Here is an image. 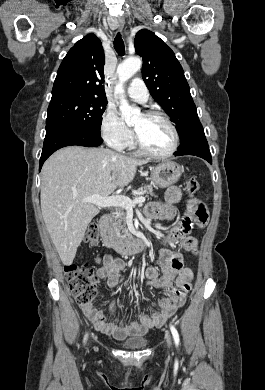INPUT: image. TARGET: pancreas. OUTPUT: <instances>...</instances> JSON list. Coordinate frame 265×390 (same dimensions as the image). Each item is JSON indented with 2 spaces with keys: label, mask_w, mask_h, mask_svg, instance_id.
Returning a JSON list of instances; mask_svg holds the SVG:
<instances>
[{
  "label": "pancreas",
  "mask_w": 265,
  "mask_h": 390,
  "mask_svg": "<svg viewBox=\"0 0 265 390\" xmlns=\"http://www.w3.org/2000/svg\"><path fill=\"white\" fill-rule=\"evenodd\" d=\"M147 195H153V188L152 187H145L144 188ZM139 191H143V188H140ZM112 218V228L114 232L117 234V236L121 238H132L131 234L128 232V230L125 227V220H126V210L122 207H117L115 210L111 213Z\"/></svg>",
  "instance_id": "pancreas-1"
}]
</instances>
